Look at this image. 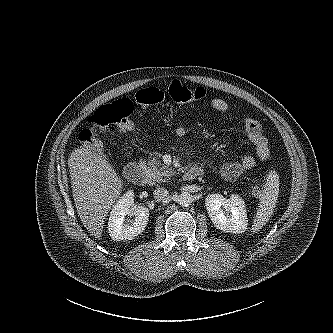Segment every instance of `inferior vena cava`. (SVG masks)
Returning <instances> with one entry per match:
<instances>
[{
	"mask_svg": "<svg viewBox=\"0 0 333 333\" xmlns=\"http://www.w3.org/2000/svg\"><path fill=\"white\" fill-rule=\"evenodd\" d=\"M153 194L156 200L161 201L168 196V191L165 188H157L154 190Z\"/></svg>",
	"mask_w": 333,
	"mask_h": 333,
	"instance_id": "1",
	"label": "inferior vena cava"
}]
</instances>
